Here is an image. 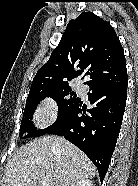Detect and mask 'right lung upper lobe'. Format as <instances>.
Segmentation results:
<instances>
[{"label":"right lung upper lobe","mask_w":138,"mask_h":186,"mask_svg":"<svg viewBox=\"0 0 138 186\" xmlns=\"http://www.w3.org/2000/svg\"><path fill=\"white\" fill-rule=\"evenodd\" d=\"M117 82L127 77L121 43L113 27L91 12L71 20L48 62L35 75L30 93L68 85Z\"/></svg>","instance_id":"obj_1"}]
</instances>
